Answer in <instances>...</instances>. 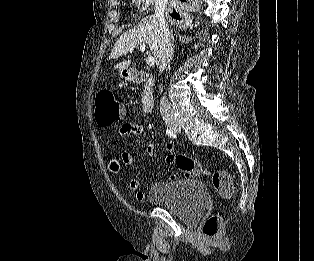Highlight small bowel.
Wrapping results in <instances>:
<instances>
[{
    "instance_id": "1",
    "label": "small bowel",
    "mask_w": 314,
    "mask_h": 261,
    "mask_svg": "<svg viewBox=\"0 0 314 261\" xmlns=\"http://www.w3.org/2000/svg\"><path fill=\"white\" fill-rule=\"evenodd\" d=\"M120 135L122 136H128V135H142L145 136L147 133L145 131V129L135 123H125L121 126L120 130H119ZM173 145L172 144H167L165 147V151H166V161H167V156L169 155H173ZM145 152L147 154V156L152 157L154 155L155 152V146L151 141H148L146 146H145ZM127 157V161L128 162H132V158L131 157ZM167 163H169L167 161ZM143 180L138 179V178H134L130 181L129 186L132 190L137 191L136 193V199L137 200H142L144 198V193L142 191H139V188L143 185Z\"/></svg>"
}]
</instances>
